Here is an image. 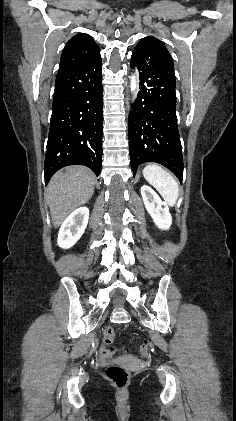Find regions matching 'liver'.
<instances>
[{
    "instance_id": "liver-1",
    "label": "liver",
    "mask_w": 236,
    "mask_h": 421,
    "mask_svg": "<svg viewBox=\"0 0 236 421\" xmlns=\"http://www.w3.org/2000/svg\"><path fill=\"white\" fill-rule=\"evenodd\" d=\"M94 184L96 176L87 166L75 164L55 172L46 190L54 227H60L78 206L91 198Z\"/></svg>"
}]
</instances>
